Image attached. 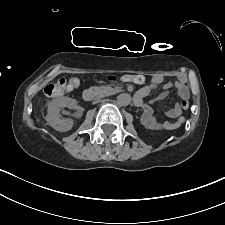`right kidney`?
I'll list each match as a JSON object with an SVG mask.
<instances>
[{
	"mask_svg": "<svg viewBox=\"0 0 225 225\" xmlns=\"http://www.w3.org/2000/svg\"><path fill=\"white\" fill-rule=\"evenodd\" d=\"M77 104L75 99L69 97H60L51 100L48 103L47 123L57 131L66 132L72 129L73 121L71 119H61L59 112L63 107L73 108Z\"/></svg>",
	"mask_w": 225,
	"mask_h": 225,
	"instance_id": "1",
	"label": "right kidney"
}]
</instances>
